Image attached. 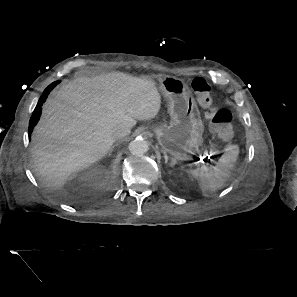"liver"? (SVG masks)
<instances>
[{"label": "liver", "instance_id": "obj_1", "mask_svg": "<svg viewBox=\"0 0 297 297\" xmlns=\"http://www.w3.org/2000/svg\"><path fill=\"white\" fill-rule=\"evenodd\" d=\"M160 107L153 80L122 72L74 79L43 106L32 137L33 169L46 187L62 193L71 174L108 153L116 128L131 129Z\"/></svg>", "mask_w": 297, "mask_h": 297}]
</instances>
